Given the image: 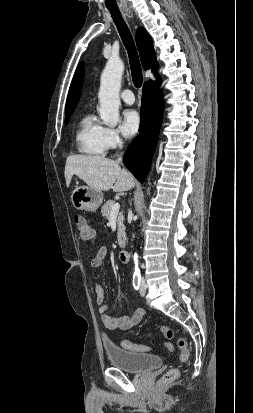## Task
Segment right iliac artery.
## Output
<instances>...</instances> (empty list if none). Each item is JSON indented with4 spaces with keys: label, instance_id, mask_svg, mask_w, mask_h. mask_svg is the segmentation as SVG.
I'll return each mask as SVG.
<instances>
[{
    "label": "right iliac artery",
    "instance_id": "right-iliac-artery-1",
    "mask_svg": "<svg viewBox=\"0 0 253 413\" xmlns=\"http://www.w3.org/2000/svg\"><path fill=\"white\" fill-rule=\"evenodd\" d=\"M141 283V275L140 273H134L133 275V286L135 290H138Z\"/></svg>",
    "mask_w": 253,
    "mask_h": 413
}]
</instances>
